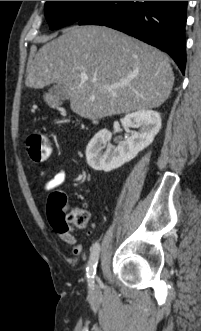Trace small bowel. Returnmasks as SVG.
<instances>
[{"label": "small bowel", "mask_w": 201, "mask_h": 331, "mask_svg": "<svg viewBox=\"0 0 201 331\" xmlns=\"http://www.w3.org/2000/svg\"><path fill=\"white\" fill-rule=\"evenodd\" d=\"M52 173L51 170H43L40 173L41 177H46ZM66 180L65 170H59L55 172L52 177L47 179L43 185L44 191H54L61 187ZM59 237L68 245L72 246V252L74 254H79L81 252V246L77 243L76 236L67 227H60L56 229Z\"/></svg>", "instance_id": "1"}]
</instances>
